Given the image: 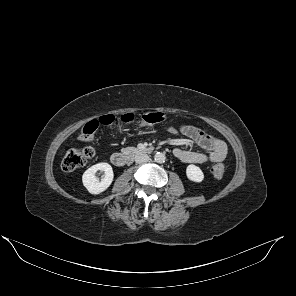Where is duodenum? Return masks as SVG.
Here are the masks:
<instances>
[{"mask_svg": "<svg viewBox=\"0 0 296 296\" xmlns=\"http://www.w3.org/2000/svg\"><path fill=\"white\" fill-rule=\"evenodd\" d=\"M153 151L151 147H145L141 149L131 150L129 152H114L111 155V162L117 167H123L128 165L139 154H148Z\"/></svg>", "mask_w": 296, "mask_h": 296, "instance_id": "obj_1", "label": "duodenum"}]
</instances>
